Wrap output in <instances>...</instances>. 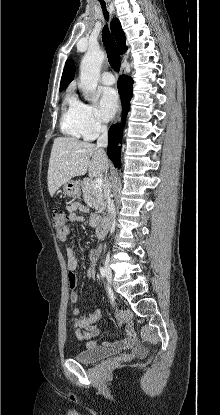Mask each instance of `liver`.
I'll list each match as a JSON object with an SVG mask.
<instances>
[{
	"instance_id": "6515ba94",
	"label": "liver",
	"mask_w": 220,
	"mask_h": 415,
	"mask_svg": "<svg viewBox=\"0 0 220 415\" xmlns=\"http://www.w3.org/2000/svg\"><path fill=\"white\" fill-rule=\"evenodd\" d=\"M109 167L103 149L73 137L54 140L48 167V190L51 196L72 178L85 175L101 178Z\"/></svg>"
}]
</instances>
